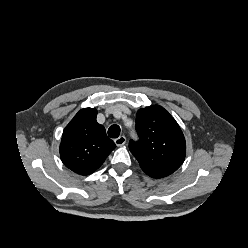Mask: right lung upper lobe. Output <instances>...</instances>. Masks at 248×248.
<instances>
[{
  "mask_svg": "<svg viewBox=\"0 0 248 248\" xmlns=\"http://www.w3.org/2000/svg\"><path fill=\"white\" fill-rule=\"evenodd\" d=\"M96 116V109L80 110L62 134L61 160L67 168L80 175L93 173L116 147L107 137L105 128L97 123Z\"/></svg>",
  "mask_w": 248,
  "mask_h": 248,
  "instance_id": "right-lung-upper-lobe-1",
  "label": "right lung upper lobe"
}]
</instances>
